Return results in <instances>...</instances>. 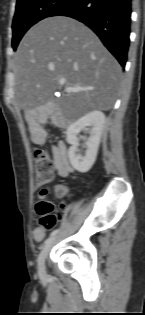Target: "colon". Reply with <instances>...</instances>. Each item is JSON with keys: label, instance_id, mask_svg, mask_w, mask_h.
Listing matches in <instances>:
<instances>
[{"label": "colon", "instance_id": "1", "mask_svg": "<svg viewBox=\"0 0 145 315\" xmlns=\"http://www.w3.org/2000/svg\"><path fill=\"white\" fill-rule=\"evenodd\" d=\"M34 162L36 177L39 184L48 183L53 175V162L48 153L42 149L34 152ZM37 211L42 215L39 224L45 228L52 227L60 218L59 213L55 212V205L49 200L47 191L42 190L37 204Z\"/></svg>", "mask_w": 145, "mask_h": 315}]
</instances>
